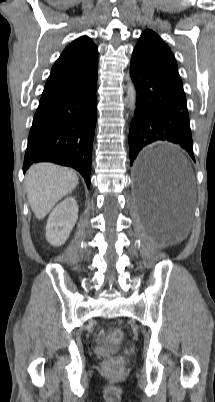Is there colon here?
Masks as SVG:
<instances>
[{"label":"colon","mask_w":215,"mask_h":402,"mask_svg":"<svg viewBox=\"0 0 215 402\" xmlns=\"http://www.w3.org/2000/svg\"><path fill=\"white\" fill-rule=\"evenodd\" d=\"M103 338L110 344H118L123 339V333L120 329L114 328L102 334ZM124 365V358L115 356L105 361L104 368L110 375H117L121 372Z\"/></svg>","instance_id":"5ec220e1"}]
</instances>
